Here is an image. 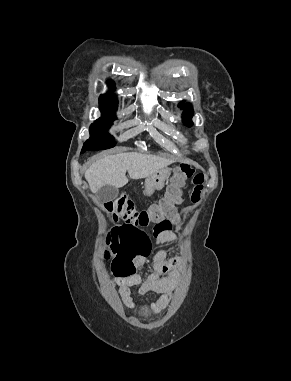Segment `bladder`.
I'll return each mask as SVG.
<instances>
[{"label": "bladder", "mask_w": 291, "mask_h": 381, "mask_svg": "<svg viewBox=\"0 0 291 381\" xmlns=\"http://www.w3.org/2000/svg\"><path fill=\"white\" fill-rule=\"evenodd\" d=\"M138 315H139L140 317H143V318L146 317L145 314H142V313H139Z\"/></svg>", "instance_id": "bladder-1"}]
</instances>
